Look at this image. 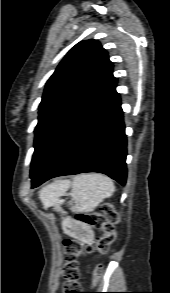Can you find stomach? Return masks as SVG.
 <instances>
[{
    "label": "stomach",
    "instance_id": "obj_1",
    "mask_svg": "<svg viewBox=\"0 0 170 293\" xmlns=\"http://www.w3.org/2000/svg\"><path fill=\"white\" fill-rule=\"evenodd\" d=\"M50 205L54 206L56 211L63 212L61 208V201L58 198H55ZM65 230L70 235L83 241L89 240L92 236V231L87 226H82L78 228L76 224H72L71 226L66 225Z\"/></svg>",
    "mask_w": 170,
    "mask_h": 293
}]
</instances>
